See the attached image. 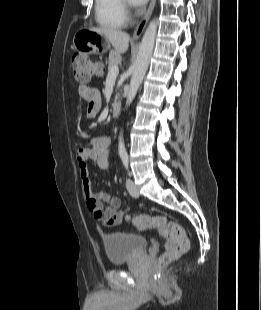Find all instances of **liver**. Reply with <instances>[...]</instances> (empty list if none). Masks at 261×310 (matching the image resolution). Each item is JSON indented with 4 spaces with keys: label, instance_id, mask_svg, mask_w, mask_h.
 Here are the masks:
<instances>
[{
    "label": "liver",
    "instance_id": "obj_1",
    "mask_svg": "<svg viewBox=\"0 0 261 310\" xmlns=\"http://www.w3.org/2000/svg\"><path fill=\"white\" fill-rule=\"evenodd\" d=\"M90 31L103 34L112 44L116 52L125 53L129 45V35L123 31L111 28H90Z\"/></svg>",
    "mask_w": 261,
    "mask_h": 310
}]
</instances>
